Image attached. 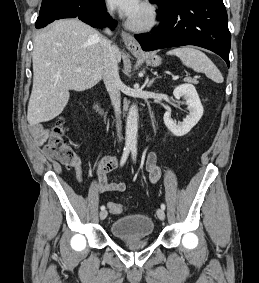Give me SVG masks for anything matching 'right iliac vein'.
Here are the masks:
<instances>
[{"instance_id": "right-iliac-vein-1", "label": "right iliac vein", "mask_w": 259, "mask_h": 283, "mask_svg": "<svg viewBox=\"0 0 259 283\" xmlns=\"http://www.w3.org/2000/svg\"><path fill=\"white\" fill-rule=\"evenodd\" d=\"M107 214H108L107 210H102L99 214L100 219L104 220L107 217Z\"/></svg>"}]
</instances>
